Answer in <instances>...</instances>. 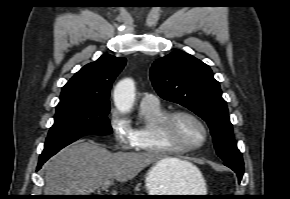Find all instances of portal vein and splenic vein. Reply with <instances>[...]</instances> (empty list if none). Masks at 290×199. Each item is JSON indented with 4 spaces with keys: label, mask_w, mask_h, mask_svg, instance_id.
Returning <instances> with one entry per match:
<instances>
[{
    "label": "portal vein and splenic vein",
    "mask_w": 290,
    "mask_h": 199,
    "mask_svg": "<svg viewBox=\"0 0 290 199\" xmlns=\"http://www.w3.org/2000/svg\"><path fill=\"white\" fill-rule=\"evenodd\" d=\"M111 184V181L110 180H107L105 181L103 184H102V189H107Z\"/></svg>",
    "instance_id": "1"
}]
</instances>
